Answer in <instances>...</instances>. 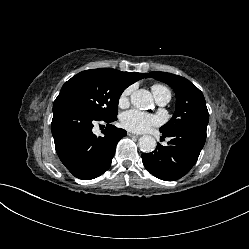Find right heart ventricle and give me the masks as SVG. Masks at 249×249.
Returning <instances> with one entry per match:
<instances>
[{
	"label": "right heart ventricle",
	"instance_id": "1",
	"mask_svg": "<svg viewBox=\"0 0 249 249\" xmlns=\"http://www.w3.org/2000/svg\"><path fill=\"white\" fill-rule=\"evenodd\" d=\"M151 89H152V92H153L154 95H156V94H158V93H161V92H163V91H168V92H170V91L168 90V88H166L165 86L160 85V84H155V85H153V86L151 87Z\"/></svg>",
	"mask_w": 249,
	"mask_h": 249
}]
</instances>
